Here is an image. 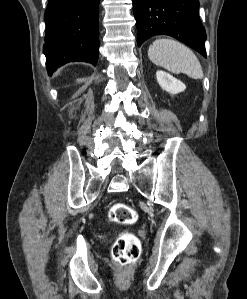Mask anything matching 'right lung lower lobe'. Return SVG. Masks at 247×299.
Listing matches in <instances>:
<instances>
[{
  "instance_id": "right-lung-lower-lobe-1",
  "label": "right lung lower lobe",
  "mask_w": 247,
  "mask_h": 299,
  "mask_svg": "<svg viewBox=\"0 0 247 299\" xmlns=\"http://www.w3.org/2000/svg\"><path fill=\"white\" fill-rule=\"evenodd\" d=\"M100 0H48L44 54L48 72L68 62L96 65Z\"/></svg>"
}]
</instances>
